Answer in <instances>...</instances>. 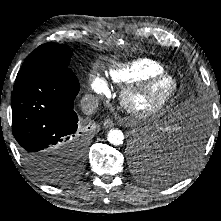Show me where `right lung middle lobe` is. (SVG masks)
Segmentation results:
<instances>
[{
	"instance_id": "obj_1",
	"label": "right lung middle lobe",
	"mask_w": 221,
	"mask_h": 221,
	"mask_svg": "<svg viewBox=\"0 0 221 221\" xmlns=\"http://www.w3.org/2000/svg\"><path fill=\"white\" fill-rule=\"evenodd\" d=\"M71 55L72 51L65 45L45 43L39 46L22 65L14 89L39 75L71 71L68 68Z\"/></svg>"
}]
</instances>
